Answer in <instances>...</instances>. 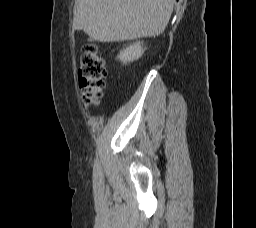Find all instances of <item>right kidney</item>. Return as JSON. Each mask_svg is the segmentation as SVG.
I'll return each mask as SVG.
<instances>
[{
  "label": "right kidney",
  "mask_w": 256,
  "mask_h": 228,
  "mask_svg": "<svg viewBox=\"0 0 256 228\" xmlns=\"http://www.w3.org/2000/svg\"><path fill=\"white\" fill-rule=\"evenodd\" d=\"M142 45L143 42L140 41L129 45L128 47L120 51V54L118 55L119 60L123 63H127L129 61L139 59L145 51Z\"/></svg>",
  "instance_id": "1"
}]
</instances>
